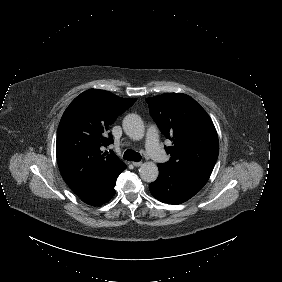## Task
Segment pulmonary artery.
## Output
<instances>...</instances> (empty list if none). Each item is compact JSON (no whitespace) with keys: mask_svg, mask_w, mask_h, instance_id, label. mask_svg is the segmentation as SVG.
<instances>
[{"mask_svg":"<svg viewBox=\"0 0 282 282\" xmlns=\"http://www.w3.org/2000/svg\"><path fill=\"white\" fill-rule=\"evenodd\" d=\"M146 148L148 154L154 162H161L164 159V152L161 150L160 143V132L155 127H150L145 132Z\"/></svg>","mask_w":282,"mask_h":282,"instance_id":"pulmonary-artery-1","label":"pulmonary artery"}]
</instances>
